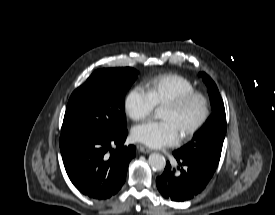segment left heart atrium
<instances>
[{
  "label": "left heart atrium",
  "mask_w": 275,
  "mask_h": 215,
  "mask_svg": "<svg viewBox=\"0 0 275 215\" xmlns=\"http://www.w3.org/2000/svg\"><path fill=\"white\" fill-rule=\"evenodd\" d=\"M132 137L149 147L159 148L176 144L180 133L172 121H149L135 126L132 129Z\"/></svg>",
  "instance_id": "obj_1"
}]
</instances>
